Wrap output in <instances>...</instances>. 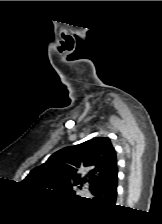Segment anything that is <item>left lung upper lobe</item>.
<instances>
[{"mask_svg":"<svg viewBox=\"0 0 162 224\" xmlns=\"http://www.w3.org/2000/svg\"><path fill=\"white\" fill-rule=\"evenodd\" d=\"M115 171V150L109 138L98 137L55 152L44 164L34 168L23 183L37 188L52 187L72 196L75 193L73 186L81 188L88 182L92 192ZM81 172L86 175L82 177Z\"/></svg>","mask_w":162,"mask_h":224,"instance_id":"5c2ea615","label":"left lung upper lobe"}]
</instances>
